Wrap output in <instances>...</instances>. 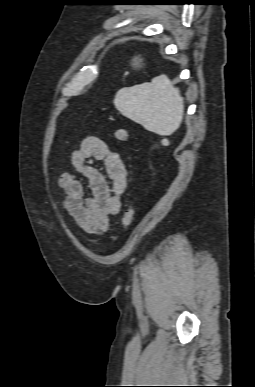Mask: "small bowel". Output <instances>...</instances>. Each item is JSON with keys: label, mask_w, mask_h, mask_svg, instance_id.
Segmentation results:
<instances>
[{"label": "small bowel", "mask_w": 255, "mask_h": 387, "mask_svg": "<svg viewBox=\"0 0 255 387\" xmlns=\"http://www.w3.org/2000/svg\"><path fill=\"white\" fill-rule=\"evenodd\" d=\"M93 161L103 163L105 174L92 165ZM71 164L87 179L90 194L86 195L75 173H63L58 184L64 191V210L86 233L106 231L109 217L120 211L127 187L128 172L121 155L102 139L88 136L72 152Z\"/></svg>", "instance_id": "c3829d8e"}]
</instances>
